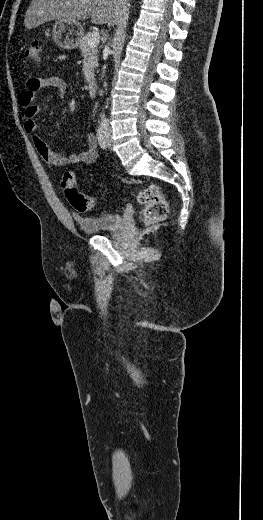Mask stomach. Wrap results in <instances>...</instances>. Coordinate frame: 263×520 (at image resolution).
Returning a JSON list of instances; mask_svg holds the SVG:
<instances>
[{
  "instance_id": "obj_1",
  "label": "stomach",
  "mask_w": 263,
  "mask_h": 520,
  "mask_svg": "<svg viewBox=\"0 0 263 520\" xmlns=\"http://www.w3.org/2000/svg\"><path fill=\"white\" fill-rule=\"evenodd\" d=\"M83 27L79 22H67L57 20L53 25V38L57 45L63 49H75L83 36Z\"/></svg>"
}]
</instances>
